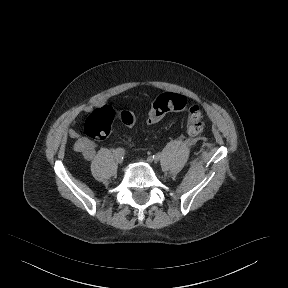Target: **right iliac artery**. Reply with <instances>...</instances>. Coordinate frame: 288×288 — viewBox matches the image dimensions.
Segmentation results:
<instances>
[{
    "instance_id": "1",
    "label": "right iliac artery",
    "mask_w": 288,
    "mask_h": 288,
    "mask_svg": "<svg viewBox=\"0 0 288 288\" xmlns=\"http://www.w3.org/2000/svg\"><path fill=\"white\" fill-rule=\"evenodd\" d=\"M124 154H125V150L123 148H117L114 151V156L118 159H123Z\"/></svg>"
}]
</instances>
